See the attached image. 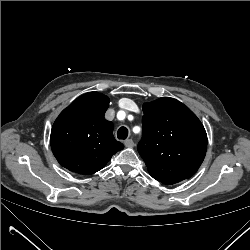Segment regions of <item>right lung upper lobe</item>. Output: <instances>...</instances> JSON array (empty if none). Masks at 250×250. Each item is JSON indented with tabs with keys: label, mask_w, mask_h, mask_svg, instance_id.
Instances as JSON below:
<instances>
[{
	"label": "right lung upper lobe",
	"mask_w": 250,
	"mask_h": 250,
	"mask_svg": "<svg viewBox=\"0 0 250 250\" xmlns=\"http://www.w3.org/2000/svg\"><path fill=\"white\" fill-rule=\"evenodd\" d=\"M109 98L86 93L73 101L55 120L50 136L54 156L72 172L91 175L123 149L113 136V123L104 118Z\"/></svg>",
	"instance_id": "1"
}]
</instances>
